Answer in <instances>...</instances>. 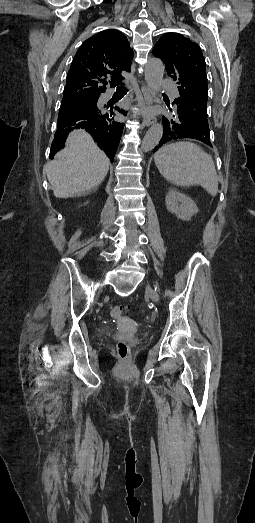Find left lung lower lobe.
I'll return each mask as SVG.
<instances>
[{
	"label": "left lung lower lobe",
	"instance_id": "1",
	"mask_svg": "<svg viewBox=\"0 0 255 523\" xmlns=\"http://www.w3.org/2000/svg\"><path fill=\"white\" fill-rule=\"evenodd\" d=\"M180 112L183 111L181 109L174 112L166 111V115L162 118L164 134L157 145L159 147L170 145V140H174V137H189L193 140H201L204 145L209 146L213 137V134H209L210 128L201 125L198 121H191L194 115H180Z\"/></svg>",
	"mask_w": 255,
	"mask_h": 523
}]
</instances>
